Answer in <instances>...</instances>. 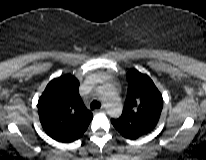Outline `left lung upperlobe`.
<instances>
[{
    "instance_id": "5c2ea615",
    "label": "left lung upper lobe",
    "mask_w": 206,
    "mask_h": 160,
    "mask_svg": "<svg viewBox=\"0 0 206 160\" xmlns=\"http://www.w3.org/2000/svg\"><path fill=\"white\" fill-rule=\"evenodd\" d=\"M128 92L122 115L111 119L119 133L137 139L150 133L157 125L163 108V98L149 76L137 70L127 73Z\"/></svg>"
}]
</instances>
